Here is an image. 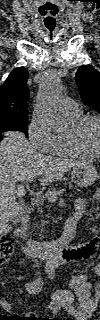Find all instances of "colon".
Masks as SVG:
<instances>
[{
	"instance_id": "5ec220e1",
	"label": "colon",
	"mask_w": 100,
	"mask_h": 320,
	"mask_svg": "<svg viewBox=\"0 0 100 320\" xmlns=\"http://www.w3.org/2000/svg\"><path fill=\"white\" fill-rule=\"evenodd\" d=\"M96 239L86 243L88 245V249L82 253H76L74 251H70L67 253L66 261H74L76 259H87L94 255L96 249ZM14 250V240L11 236H3L1 239L0 245V263L6 264L8 258L12 255ZM52 320H61L59 318Z\"/></svg>"
}]
</instances>
